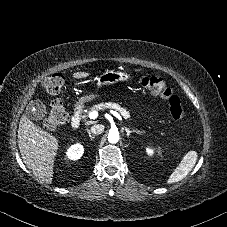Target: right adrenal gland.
<instances>
[{"label": "right adrenal gland", "instance_id": "2a0ac1e0", "mask_svg": "<svg viewBox=\"0 0 227 227\" xmlns=\"http://www.w3.org/2000/svg\"><path fill=\"white\" fill-rule=\"evenodd\" d=\"M87 133L91 139H94L95 137L91 135L90 131L87 130Z\"/></svg>", "mask_w": 227, "mask_h": 227}]
</instances>
